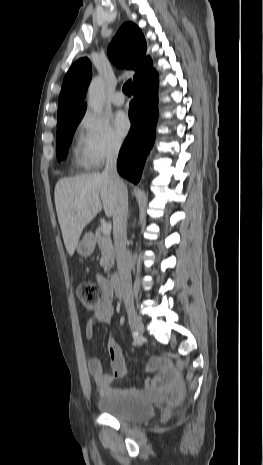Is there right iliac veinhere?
Instances as JSON below:
<instances>
[{
    "instance_id": "obj_1",
    "label": "right iliac vein",
    "mask_w": 263,
    "mask_h": 465,
    "mask_svg": "<svg viewBox=\"0 0 263 465\" xmlns=\"http://www.w3.org/2000/svg\"><path fill=\"white\" fill-rule=\"evenodd\" d=\"M128 316L132 327L142 336L145 332V327L141 318L134 311H129Z\"/></svg>"
}]
</instances>
